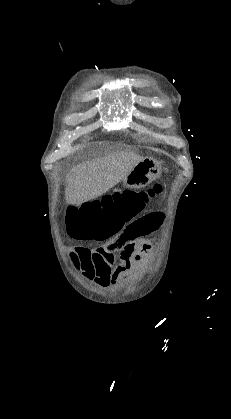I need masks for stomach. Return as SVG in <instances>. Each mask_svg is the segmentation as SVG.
<instances>
[{
	"label": "stomach",
	"instance_id": "0dacf381",
	"mask_svg": "<svg viewBox=\"0 0 231 419\" xmlns=\"http://www.w3.org/2000/svg\"><path fill=\"white\" fill-rule=\"evenodd\" d=\"M161 176L160 164L152 158H144L123 178L127 188L140 189Z\"/></svg>",
	"mask_w": 231,
	"mask_h": 419
}]
</instances>
